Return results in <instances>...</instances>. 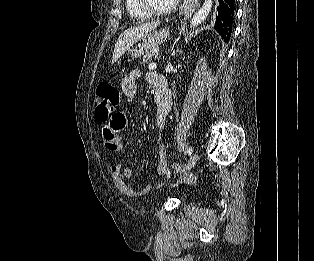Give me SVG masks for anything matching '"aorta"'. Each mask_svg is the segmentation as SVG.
<instances>
[{"instance_id":"762f6f07","label":"aorta","mask_w":314,"mask_h":261,"mask_svg":"<svg viewBox=\"0 0 314 261\" xmlns=\"http://www.w3.org/2000/svg\"><path fill=\"white\" fill-rule=\"evenodd\" d=\"M213 6V0H205L202 7L194 14L190 22V27H196L201 24L209 15Z\"/></svg>"}]
</instances>
